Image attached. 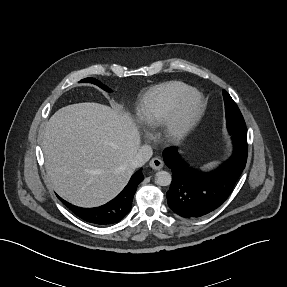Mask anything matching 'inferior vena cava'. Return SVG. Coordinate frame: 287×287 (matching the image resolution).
Returning a JSON list of instances; mask_svg holds the SVG:
<instances>
[{"label":"inferior vena cava","instance_id":"obj_1","mask_svg":"<svg viewBox=\"0 0 287 287\" xmlns=\"http://www.w3.org/2000/svg\"><path fill=\"white\" fill-rule=\"evenodd\" d=\"M152 154V148L149 145L141 146L134 158L132 159V167L137 168L143 166L151 158Z\"/></svg>","mask_w":287,"mask_h":287}]
</instances>
